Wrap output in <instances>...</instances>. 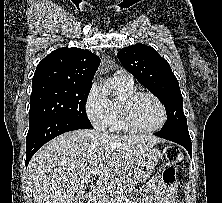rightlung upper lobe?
<instances>
[{
  "instance_id": "cb5924a9",
  "label": "right lung upper lobe",
  "mask_w": 222,
  "mask_h": 203,
  "mask_svg": "<svg viewBox=\"0 0 222 203\" xmlns=\"http://www.w3.org/2000/svg\"><path fill=\"white\" fill-rule=\"evenodd\" d=\"M100 58L89 50L63 47L52 51L38 64L32 90L53 86H92Z\"/></svg>"
}]
</instances>
